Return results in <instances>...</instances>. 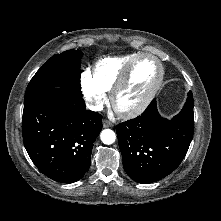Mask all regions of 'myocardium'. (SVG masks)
Wrapping results in <instances>:
<instances>
[{
	"label": "myocardium",
	"mask_w": 221,
	"mask_h": 221,
	"mask_svg": "<svg viewBox=\"0 0 221 221\" xmlns=\"http://www.w3.org/2000/svg\"><path fill=\"white\" fill-rule=\"evenodd\" d=\"M143 58H151L157 63L159 67L158 78L154 86L152 87V89L148 92V94L144 97V99L138 105L132 108H127V109L121 108L117 104L118 96L127 86L135 65ZM164 75H165L164 66L158 57L150 53H141L138 56H136L125 67V69L123 70V72L121 73V75L119 76L118 80L116 81L115 85L113 86L111 90L110 100H111V104L114 110L120 116L125 117V118H133V117L140 115L149 106V104L152 102V100L154 99L158 91L160 90L163 79H164Z\"/></svg>",
	"instance_id": "obj_1"
}]
</instances>
